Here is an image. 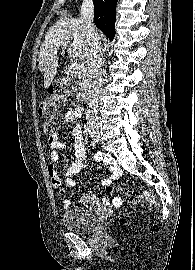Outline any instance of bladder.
Listing matches in <instances>:
<instances>
[{
    "label": "bladder",
    "mask_w": 195,
    "mask_h": 270,
    "mask_svg": "<svg viewBox=\"0 0 195 270\" xmlns=\"http://www.w3.org/2000/svg\"><path fill=\"white\" fill-rule=\"evenodd\" d=\"M98 213L91 208L67 210L63 213L62 222L66 229L75 233H87L97 222Z\"/></svg>",
    "instance_id": "bladder-1"
}]
</instances>
